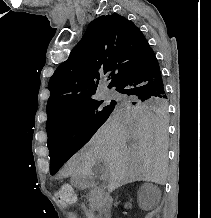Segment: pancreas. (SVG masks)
<instances>
[{
    "instance_id": "obj_1",
    "label": "pancreas",
    "mask_w": 211,
    "mask_h": 218,
    "mask_svg": "<svg viewBox=\"0 0 211 218\" xmlns=\"http://www.w3.org/2000/svg\"><path fill=\"white\" fill-rule=\"evenodd\" d=\"M106 194V190H92L88 194V202L92 212L100 210L102 205H109L108 195Z\"/></svg>"
}]
</instances>
